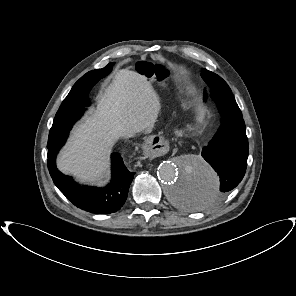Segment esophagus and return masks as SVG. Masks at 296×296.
<instances>
[{"instance_id":"34e87169","label":"esophagus","mask_w":296,"mask_h":296,"mask_svg":"<svg viewBox=\"0 0 296 296\" xmlns=\"http://www.w3.org/2000/svg\"><path fill=\"white\" fill-rule=\"evenodd\" d=\"M168 148V141L158 135L149 136L142 143V152L147 157L152 158H161L166 153V149Z\"/></svg>"}]
</instances>
